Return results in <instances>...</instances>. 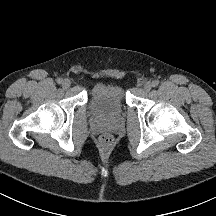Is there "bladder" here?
Returning <instances> with one entry per match:
<instances>
[{
	"label": "bladder",
	"mask_w": 216,
	"mask_h": 216,
	"mask_svg": "<svg viewBox=\"0 0 216 216\" xmlns=\"http://www.w3.org/2000/svg\"><path fill=\"white\" fill-rule=\"evenodd\" d=\"M88 108L100 119L114 121L119 119L127 108L122 87L115 83H100L90 92Z\"/></svg>",
	"instance_id": "bladder-1"
}]
</instances>
